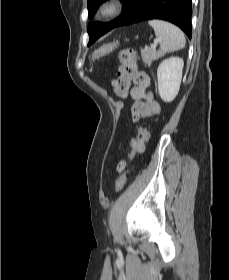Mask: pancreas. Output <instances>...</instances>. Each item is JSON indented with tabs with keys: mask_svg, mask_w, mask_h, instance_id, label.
<instances>
[{
	"mask_svg": "<svg viewBox=\"0 0 229 280\" xmlns=\"http://www.w3.org/2000/svg\"><path fill=\"white\" fill-rule=\"evenodd\" d=\"M162 54L152 49H144L141 51V57L144 63L150 67L154 60L160 58Z\"/></svg>",
	"mask_w": 229,
	"mask_h": 280,
	"instance_id": "cf45deb5",
	"label": "pancreas"
}]
</instances>
